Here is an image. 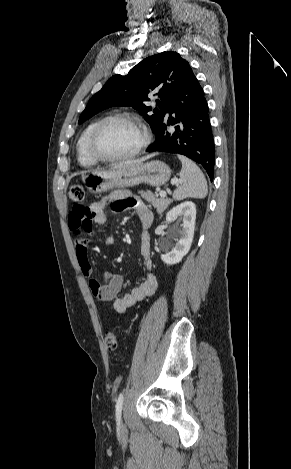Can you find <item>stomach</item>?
<instances>
[{"label": "stomach", "instance_id": "stomach-1", "mask_svg": "<svg viewBox=\"0 0 291 469\" xmlns=\"http://www.w3.org/2000/svg\"><path fill=\"white\" fill-rule=\"evenodd\" d=\"M170 176L171 170L166 163L152 160L107 171L89 172L82 180L91 193L100 194L113 188L132 187L140 183L161 186Z\"/></svg>", "mask_w": 291, "mask_h": 469}]
</instances>
